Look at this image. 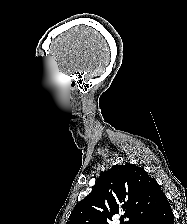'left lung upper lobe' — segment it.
Wrapping results in <instances>:
<instances>
[{"instance_id":"left-lung-upper-lobe-1","label":"left lung upper lobe","mask_w":187,"mask_h":224,"mask_svg":"<svg viewBox=\"0 0 187 224\" xmlns=\"http://www.w3.org/2000/svg\"><path fill=\"white\" fill-rule=\"evenodd\" d=\"M161 193L159 184L143 168L115 165L100 174L92 192L75 206L66 224H110L120 213V224H146Z\"/></svg>"}]
</instances>
